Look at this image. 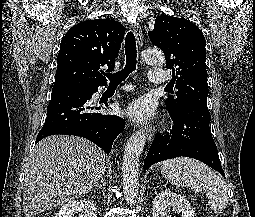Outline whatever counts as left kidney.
Returning a JSON list of instances; mask_svg holds the SVG:
<instances>
[{
    "instance_id": "left-kidney-1",
    "label": "left kidney",
    "mask_w": 255,
    "mask_h": 217,
    "mask_svg": "<svg viewBox=\"0 0 255 217\" xmlns=\"http://www.w3.org/2000/svg\"><path fill=\"white\" fill-rule=\"evenodd\" d=\"M175 209L182 214V217H195L194 209L184 196L163 190L154 199L153 217H171L167 213Z\"/></svg>"
}]
</instances>
